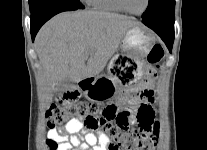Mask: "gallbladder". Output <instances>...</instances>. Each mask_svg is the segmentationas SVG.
I'll use <instances>...</instances> for the list:
<instances>
[{"label":"gallbladder","mask_w":207,"mask_h":150,"mask_svg":"<svg viewBox=\"0 0 207 150\" xmlns=\"http://www.w3.org/2000/svg\"><path fill=\"white\" fill-rule=\"evenodd\" d=\"M72 88H73V82L69 78H66L59 83L56 90V94L61 95L65 91L70 90Z\"/></svg>","instance_id":"obj_1"}]
</instances>
